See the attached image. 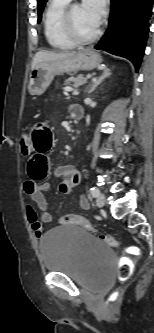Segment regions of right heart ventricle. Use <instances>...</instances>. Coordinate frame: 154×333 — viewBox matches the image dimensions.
Masks as SVG:
<instances>
[{
  "instance_id": "e07e8e85",
  "label": "right heart ventricle",
  "mask_w": 154,
  "mask_h": 333,
  "mask_svg": "<svg viewBox=\"0 0 154 333\" xmlns=\"http://www.w3.org/2000/svg\"><path fill=\"white\" fill-rule=\"evenodd\" d=\"M71 0H49L43 15L44 35L48 44L56 50H70L76 47L64 33L61 19Z\"/></svg>"
}]
</instances>
